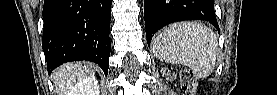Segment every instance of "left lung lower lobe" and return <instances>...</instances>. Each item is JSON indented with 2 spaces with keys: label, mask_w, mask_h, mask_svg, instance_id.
<instances>
[{
  "label": "left lung lower lobe",
  "mask_w": 277,
  "mask_h": 95,
  "mask_svg": "<svg viewBox=\"0 0 277 95\" xmlns=\"http://www.w3.org/2000/svg\"><path fill=\"white\" fill-rule=\"evenodd\" d=\"M213 4V0H144L148 46L154 33L180 20H206L219 30Z\"/></svg>",
  "instance_id": "obj_1"
}]
</instances>
